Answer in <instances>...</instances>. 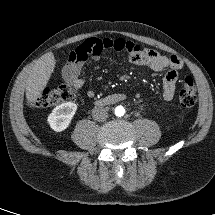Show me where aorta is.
<instances>
[{"mask_svg":"<svg viewBox=\"0 0 215 215\" xmlns=\"http://www.w3.org/2000/svg\"><path fill=\"white\" fill-rule=\"evenodd\" d=\"M125 114V109L123 106H117L115 108V115L118 116V117H121Z\"/></svg>","mask_w":215,"mask_h":215,"instance_id":"obj_1","label":"aorta"}]
</instances>
